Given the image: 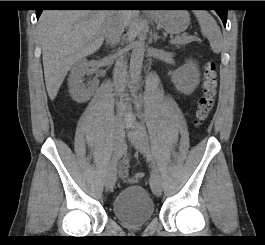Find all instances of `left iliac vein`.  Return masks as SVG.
Wrapping results in <instances>:
<instances>
[{
	"label": "left iliac vein",
	"instance_id": "1",
	"mask_svg": "<svg viewBox=\"0 0 265 245\" xmlns=\"http://www.w3.org/2000/svg\"><path fill=\"white\" fill-rule=\"evenodd\" d=\"M128 137L135 148L153 162L148 135L144 127L138 123L134 124L128 131ZM150 185L156 196L162 194L161 178L155 167L150 177Z\"/></svg>",
	"mask_w": 265,
	"mask_h": 245
}]
</instances>
